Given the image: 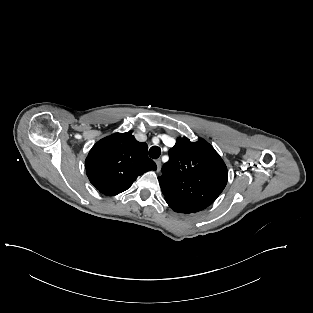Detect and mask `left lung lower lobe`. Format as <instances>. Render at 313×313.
<instances>
[{
    "label": "left lung lower lobe",
    "instance_id": "0a47b994",
    "mask_svg": "<svg viewBox=\"0 0 313 313\" xmlns=\"http://www.w3.org/2000/svg\"><path fill=\"white\" fill-rule=\"evenodd\" d=\"M168 203V202H167ZM168 205L170 206L171 209H173L175 212H179V213H191L190 210L184 208V207H181L179 205H175V204H172V203H168Z\"/></svg>",
    "mask_w": 313,
    "mask_h": 313
}]
</instances>
